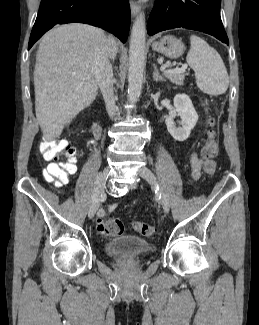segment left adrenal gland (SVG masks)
Instances as JSON below:
<instances>
[{"mask_svg":"<svg viewBox=\"0 0 259 325\" xmlns=\"http://www.w3.org/2000/svg\"><path fill=\"white\" fill-rule=\"evenodd\" d=\"M154 72H153V80L158 82V81H166L162 76L159 75L158 68L154 64Z\"/></svg>","mask_w":259,"mask_h":325,"instance_id":"obj_1","label":"left adrenal gland"}]
</instances>
